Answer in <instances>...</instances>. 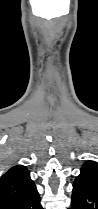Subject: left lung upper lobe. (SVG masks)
<instances>
[{"mask_svg":"<svg viewBox=\"0 0 98 209\" xmlns=\"http://www.w3.org/2000/svg\"><path fill=\"white\" fill-rule=\"evenodd\" d=\"M75 181H83L98 188V164L94 161H87L83 164L80 175Z\"/></svg>","mask_w":98,"mask_h":209,"instance_id":"1","label":"left lung upper lobe"}]
</instances>
